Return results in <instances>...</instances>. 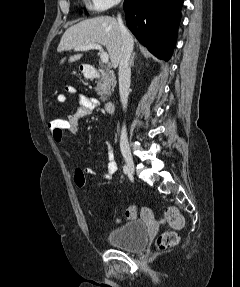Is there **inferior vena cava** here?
Segmentation results:
<instances>
[{"instance_id": "602c4592", "label": "inferior vena cava", "mask_w": 240, "mask_h": 287, "mask_svg": "<svg viewBox=\"0 0 240 287\" xmlns=\"http://www.w3.org/2000/svg\"><path fill=\"white\" fill-rule=\"evenodd\" d=\"M120 1V0H118ZM118 24L122 37V44L119 55V93L120 100L123 105V109H126L128 103L129 96V87H130V77H131V69H130V57L133 51V38L130 35L127 28L124 26L121 15H118ZM120 146L121 148L128 149V138L126 126L124 125L121 130L120 136Z\"/></svg>"}]
</instances>
